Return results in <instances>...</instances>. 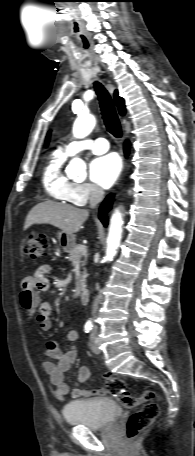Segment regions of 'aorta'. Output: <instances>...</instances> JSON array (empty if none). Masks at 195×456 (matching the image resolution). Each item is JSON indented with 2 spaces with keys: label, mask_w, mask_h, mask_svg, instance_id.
<instances>
[{
  "label": "aorta",
  "mask_w": 195,
  "mask_h": 456,
  "mask_svg": "<svg viewBox=\"0 0 195 456\" xmlns=\"http://www.w3.org/2000/svg\"><path fill=\"white\" fill-rule=\"evenodd\" d=\"M96 119L90 114H81L73 125V135L82 139L88 136L95 127ZM67 174L70 177H84L86 175V164L80 158H73L67 167ZM123 218L119 210H116L111 217L109 233L107 237V250L105 261H112L115 257L122 238Z\"/></svg>",
  "instance_id": "762f6f07"
}]
</instances>
